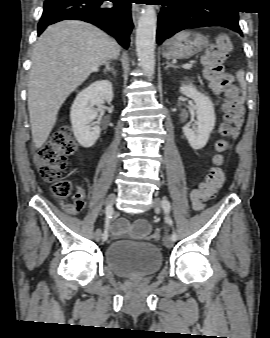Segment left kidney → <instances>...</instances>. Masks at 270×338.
<instances>
[{"instance_id":"obj_1","label":"left kidney","mask_w":270,"mask_h":338,"mask_svg":"<svg viewBox=\"0 0 270 338\" xmlns=\"http://www.w3.org/2000/svg\"><path fill=\"white\" fill-rule=\"evenodd\" d=\"M180 92L191 98L196 104L197 121L196 126L183 127V133L194 150L202 149L208 142L210 133L215 126V112L211 99L199 92L192 85H182Z\"/></svg>"}]
</instances>
